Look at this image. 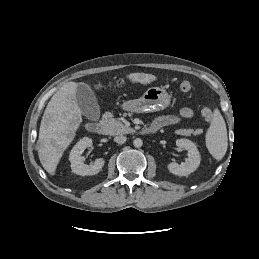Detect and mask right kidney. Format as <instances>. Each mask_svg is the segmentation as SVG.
<instances>
[{"label": "right kidney", "instance_id": "right-kidney-1", "mask_svg": "<svg viewBox=\"0 0 259 259\" xmlns=\"http://www.w3.org/2000/svg\"><path fill=\"white\" fill-rule=\"evenodd\" d=\"M93 141L91 138L84 137L76 143L70 152L69 160L71 162L72 172L81 176H91L98 174L105 164L103 158L96 159L91 165L84 164L85 158L82 156L83 151L91 147Z\"/></svg>", "mask_w": 259, "mask_h": 259}]
</instances>
